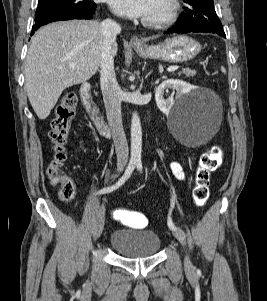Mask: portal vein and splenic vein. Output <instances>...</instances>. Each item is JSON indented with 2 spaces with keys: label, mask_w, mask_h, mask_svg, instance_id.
I'll list each match as a JSON object with an SVG mask.
<instances>
[{
  "label": "portal vein and splenic vein",
  "mask_w": 267,
  "mask_h": 301,
  "mask_svg": "<svg viewBox=\"0 0 267 301\" xmlns=\"http://www.w3.org/2000/svg\"><path fill=\"white\" fill-rule=\"evenodd\" d=\"M75 65H76L75 63H71V64H70L71 67H75ZM177 69H178V66H171V67H168V68H167V72H174V71H176Z\"/></svg>",
  "instance_id": "portal-vein-and-splenic-vein-1"
}]
</instances>
